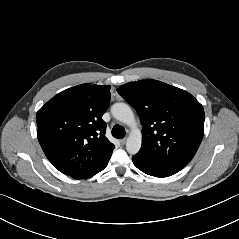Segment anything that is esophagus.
<instances>
[{
	"instance_id": "1",
	"label": "esophagus",
	"mask_w": 239,
	"mask_h": 239,
	"mask_svg": "<svg viewBox=\"0 0 239 239\" xmlns=\"http://www.w3.org/2000/svg\"><path fill=\"white\" fill-rule=\"evenodd\" d=\"M126 142H127V139H126V138H124V139L120 140V143H121L122 145H125V144H126Z\"/></svg>"
}]
</instances>
